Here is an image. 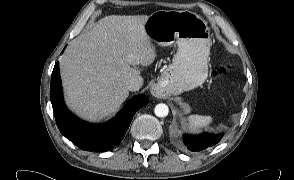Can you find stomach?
I'll list each match as a JSON object with an SVG mask.
<instances>
[{
	"mask_svg": "<svg viewBox=\"0 0 294 180\" xmlns=\"http://www.w3.org/2000/svg\"><path fill=\"white\" fill-rule=\"evenodd\" d=\"M144 30L152 42L160 46L176 43L178 51L172 64L158 81L166 95H178L203 84L208 76L210 29L206 21L190 11L152 13Z\"/></svg>",
	"mask_w": 294,
	"mask_h": 180,
	"instance_id": "0dacf381",
	"label": "stomach"
}]
</instances>
